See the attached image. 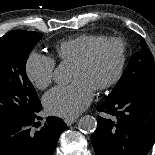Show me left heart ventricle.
<instances>
[{"mask_svg": "<svg viewBox=\"0 0 155 155\" xmlns=\"http://www.w3.org/2000/svg\"><path fill=\"white\" fill-rule=\"evenodd\" d=\"M120 59V49L117 44L102 45L90 63L84 67H72L71 81H83L93 90L108 81L115 73Z\"/></svg>", "mask_w": 155, "mask_h": 155, "instance_id": "1", "label": "left heart ventricle"}]
</instances>
